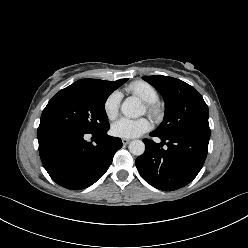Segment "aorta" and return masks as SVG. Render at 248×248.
<instances>
[{
	"mask_svg": "<svg viewBox=\"0 0 248 248\" xmlns=\"http://www.w3.org/2000/svg\"><path fill=\"white\" fill-rule=\"evenodd\" d=\"M122 114L129 118L139 117L143 114L141 102L136 97H128L121 106ZM129 151L136 156H140L145 151V144L141 140H133L129 144Z\"/></svg>",
	"mask_w": 248,
	"mask_h": 248,
	"instance_id": "1",
	"label": "aorta"
}]
</instances>
